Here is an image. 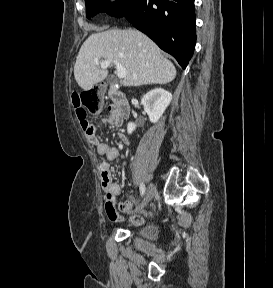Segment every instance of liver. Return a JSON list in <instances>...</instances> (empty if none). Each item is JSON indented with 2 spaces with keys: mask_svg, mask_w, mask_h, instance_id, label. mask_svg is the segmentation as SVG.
Segmentation results:
<instances>
[{
  "mask_svg": "<svg viewBox=\"0 0 273 288\" xmlns=\"http://www.w3.org/2000/svg\"><path fill=\"white\" fill-rule=\"evenodd\" d=\"M106 59L117 60L127 70L124 86L166 84L176 77L175 66L163 57L160 48L135 29L97 32L83 43L76 58L74 76L85 91L103 81L108 70L96 65Z\"/></svg>",
  "mask_w": 273,
  "mask_h": 288,
  "instance_id": "obj_1",
  "label": "liver"
}]
</instances>
